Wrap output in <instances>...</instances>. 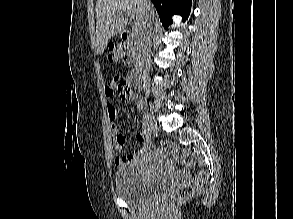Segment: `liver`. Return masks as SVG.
Returning <instances> with one entry per match:
<instances>
[{"mask_svg":"<svg viewBox=\"0 0 293 219\" xmlns=\"http://www.w3.org/2000/svg\"><path fill=\"white\" fill-rule=\"evenodd\" d=\"M125 13L132 15L133 27L141 32L146 18V8L142 0H97L95 34L99 54L104 53L111 37L125 30L127 26ZM149 13L154 17L152 4Z\"/></svg>","mask_w":293,"mask_h":219,"instance_id":"liver-1","label":"liver"}]
</instances>
